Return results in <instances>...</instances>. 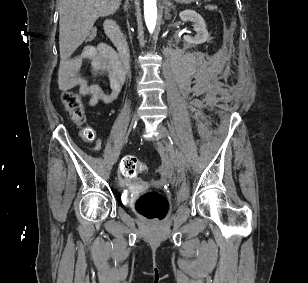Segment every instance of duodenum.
<instances>
[{
  "label": "duodenum",
  "mask_w": 308,
  "mask_h": 283,
  "mask_svg": "<svg viewBox=\"0 0 308 283\" xmlns=\"http://www.w3.org/2000/svg\"><path fill=\"white\" fill-rule=\"evenodd\" d=\"M104 30L107 37L111 40L118 51L120 66L123 71L130 69V52L127 42L123 37L118 23L114 19H108L104 23Z\"/></svg>",
  "instance_id": "1"
}]
</instances>
